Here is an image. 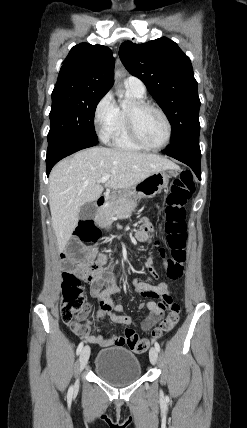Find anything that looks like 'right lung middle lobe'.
I'll use <instances>...</instances> for the list:
<instances>
[{
	"label": "right lung middle lobe",
	"mask_w": 247,
	"mask_h": 428,
	"mask_svg": "<svg viewBox=\"0 0 247 428\" xmlns=\"http://www.w3.org/2000/svg\"><path fill=\"white\" fill-rule=\"evenodd\" d=\"M104 95L105 93L82 90L52 94L48 142L61 138L98 140L94 115L96 106Z\"/></svg>",
	"instance_id": "1"
}]
</instances>
